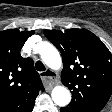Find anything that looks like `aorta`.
<instances>
[{
    "label": "aorta",
    "mask_w": 112,
    "mask_h": 112,
    "mask_svg": "<svg viewBox=\"0 0 112 112\" xmlns=\"http://www.w3.org/2000/svg\"><path fill=\"white\" fill-rule=\"evenodd\" d=\"M39 54L43 62L51 69L57 70L62 66V59L58 50L48 42L40 44ZM52 100L60 107L68 105L71 101V93L64 86H55L51 93Z\"/></svg>",
    "instance_id": "762f6f07"
}]
</instances>
